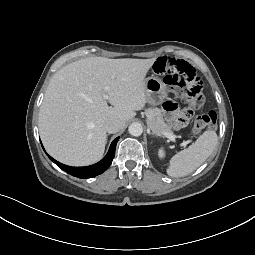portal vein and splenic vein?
<instances>
[{"instance_id":"18ae733b","label":"portal vein and splenic vein","mask_w":255,"mask_h":255,"mask_svg":"<svg viewBox=\"0 0 255 255\" xmlns=\"http://www.w3.org/2000/svg\"><path fill=\"white\" fill-rule=\"evenodd\" d=\"M163 135L167 138H169L171 141L175 142V136L171 133H168V132H163ZM192 140H188L186 141L185 143H191Z\"/></svg>"}]
</instances>
